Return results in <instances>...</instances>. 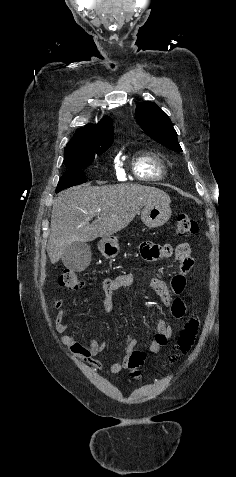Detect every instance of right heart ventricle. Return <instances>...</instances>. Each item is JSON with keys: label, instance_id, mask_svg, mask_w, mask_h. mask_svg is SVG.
<instances>
[{"label": "right heart ventricle", "instance_id": "obj_1", "mask_svg": "<svg viewBox=\"0 0 236 477\" xmlns=\"http://www.w3.org/2000/svg\"><path fill=\"white\" fill-rule=\"evenodd\" d=\"M134 175L144 181H154L165 176V167L156 153H143L132 161Z\"/></svg>", "mask_w": 236, "mask_h": 477}]
</instances>
